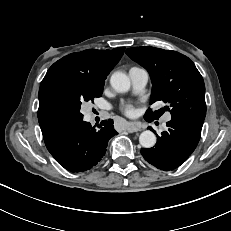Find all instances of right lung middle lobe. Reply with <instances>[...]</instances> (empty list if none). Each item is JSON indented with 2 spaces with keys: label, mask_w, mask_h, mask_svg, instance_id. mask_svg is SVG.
<instances>
[{
  "label": "right lung middle lobe",
  "mask_w": 231,
  "mask_h": 231,
  "mask_svg": "<svg viewBox=\"0 0 231 231\" xmlns=\"http://www.w3.org/2000/svg\"><path fill=\"white\" fill-rule=\"evenodd\" d=\"M104 82H95L85 78H75L60 84L55 92V99L62 111L76 122L83 119L81 104L93 101L103 93Z\"/></svg>",
  "instance_id": "right-lung-middle-lobe-1"
}]
</instances>
